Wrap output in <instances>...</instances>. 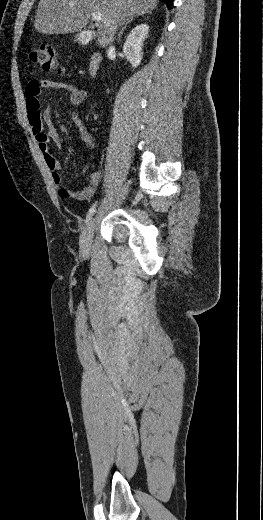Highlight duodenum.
Returning a JSON list of instances; mask_svg holds the SVG:
<instances>
[{"label": "duodenum", "instance_id": "duodenum-1", "mask_svg": "<svg viewBox=\"0 0 263 520\" xmlns=\"http://www.w3.org/2000/svg\"><path fill=\"white\" fill-rule=\"evenodd\" d=\"M101 60H102V57H101L100 53L94 52L91 55L89 66H88V72L91 77H94L97 74L98 69L100 67Z\"/></svg>", "mask_w": 263, "mask_h": 520}]
</instances>
